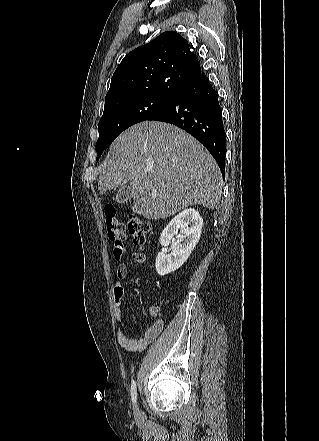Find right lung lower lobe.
I'll return each instance as SVG.
<instances>
[{
    "instance_id": "1",
    "label": "right lung lower lobe",
    "mask_w": 319,
    "mask_h": 441,
    "mask_svg": "<svg viewBox=\"0 0 319 441\" xmlns=\"http://www.w3.org/2000/svg\"><path fill=\"white\" fill-rule=\"evenodd\" d=\"M148 120L174 124L199 140L225 171V130L217 92L204 72L182 86L158 113Z\"/></svg>"
}]
</instances>
